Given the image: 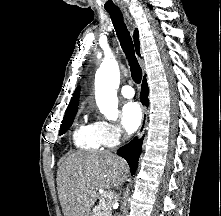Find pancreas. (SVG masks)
Listing matches in <instances>:
<instances>
[{"mask_svg":"<svg viewBox=\"0 0 221 216\" xmlns=\"http://www.w3.org/2000/svg\"><path fill=\"white\" fill-rule=\"evenodd\" d=\"M92 216H111V206L108 199L102 197L94 208Z\"/></svg>","mask_w":221,"mask_h":216,"instance_id":"cf45deb5","label":"pancreas"}]
</instances>
